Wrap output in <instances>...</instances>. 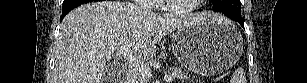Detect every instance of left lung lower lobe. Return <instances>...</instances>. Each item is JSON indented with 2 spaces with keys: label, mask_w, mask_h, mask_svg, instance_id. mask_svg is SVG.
<instances>
[{
  "label": "left lung lower lobe",
  "mask_w": 307,
  "mask_h": 83,
  "mask_svg": "<svg viewBox=\"0 0 307 83\" xmlns=\"http://www.w3.org/2000/svg\"><path fill=\"white\" fill-rule=\"evenodd\" d=\"M228 18L232 19V20H235L237 22L240 23V25L244 28V20L242 19V17H238V16H231V15H228L226 13H224Z\"/></svg>",
  "instance_id": "left-lung-lower-lobe-1"
}]
</instances>
